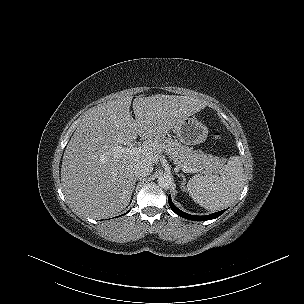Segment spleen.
<instances>
[{"label":"spleen","instance_id":"3e777b00","mask_svg":"<svg viewBox=\"0 0 304 304\" xmlns=\"http://www.w3.org/2000/svg\"><path fill=\"white\" fill-rule=\"evenodd\" d=\"M220 172V176L195 175L187 185L193 201L211 211L231 205L244 186L243 162L239 156L230 157Z\"/></svg>","mask_w":304,"mask_h":304}]
</instances>
